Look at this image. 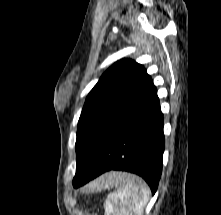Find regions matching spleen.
Returning <instances> with one entry per match:
<instances>
[{"instance_id": "3e777b00", "label": "spleen", "mask_w": 221, "mask_h": 215, "mask_svg": "<svg viewBox=\"0 0 221 215\" xmlns=\"http://www.w3.org/2000/svg\"><path fill=\"white\" fill-rule=\"evenodd\" d=\"M107 187H115L105 202V215H142L149 201L150 191L139 178L125 174L112 173Z\"/></svg>"}]
</instances>
